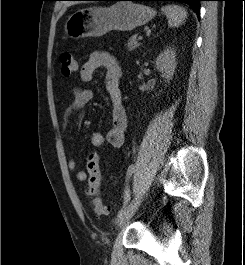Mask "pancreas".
Segmentation results:
<instances>
[{
	"label": "pancreas",
	"mask_w": 245,
	"mask_h": 265,
	"mask_svg": "<svg viewBox=\"0 0 245 265\" xmlns=\"http://www.w3.org/2000/svg\"><path fill=\"white\" fill-rule=\"evenodd\" d=\"M128 51H133L134 49L140 46L138 43L137 35H133L129 38L128 43L126 44Z\"/></svg>",
	"instance_id": "obj_1"
}]
</instances>
